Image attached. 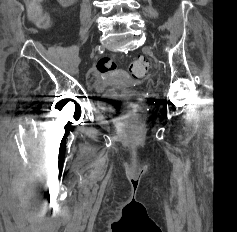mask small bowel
<instances>
[{
  "instance_id": "c3829d8e",
  "label": "small bowel",
  "mask_w": 237,
  "mask_h": 232,
  "mask_svg": "<svg viewBox=\"0 0 237 232\" xmlns=\"http://www.w3.org/2000/svg\"><path fill=\"white\" fill-rule=\"evenodd\" d=\"M88 82L98 91H103L107 86L108 82L104 79H100L99 74L96 70H90L88 73Z\"/></svg>"
}]
</instances>
